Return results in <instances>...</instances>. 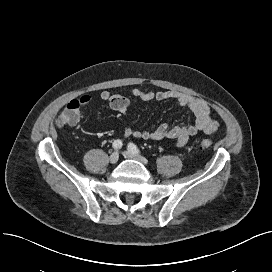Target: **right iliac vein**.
Masks as SVG:
<instances>
[{
    "label": "right iliac vein",
    "instance_id": "63e3f726",
    "mask_svg": "<svg viewBox=\"0 0 272 272\" xmlns=\"http://www.w3.org/2000/svg\"><path fill=\"white\" fill-rule=\"evenodd\" d=\"M118 159H119V154H118V152H113V153L110 155V158H109L110 163H112V164L117 163Z\"/></svg>",
    "mask_w": 272,
    "mask_h": 272
}]
</instances>
